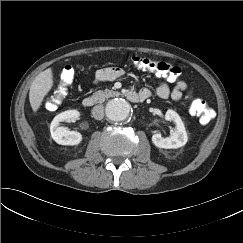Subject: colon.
I'll return each mask as SVG.
<instances>
[{"mask_svg": "<svg viewBox=\"0 0 243 243\" xmlns=\"http://www.w3.org/2000/svg\"><path fill=\"white\" fill-rule=\"evenodd\" d=\"M128 60L136 67L155 72L169 81H175L180 76L181 70L178 66L164 62L155 61L147 57L132 55L128 57ZM75 77L74 67L65 66L60 74V82L53 92V94L47 98L46 106L49 109H55L61 101L65 98L68 92V87L72 84ZM191 111L198 115L201 123L208 124L215 116L214 111L209 107L208 103L204 99H196L190 106Z\"/></svg>", "mask_w": 243, "mask_h": 243, "instance_id": "obj_1", "label": "colon"}]
</instances>
